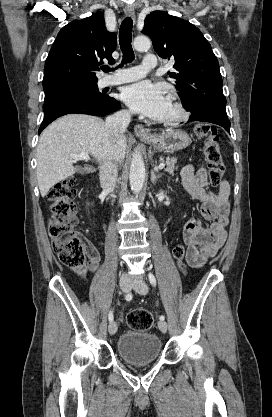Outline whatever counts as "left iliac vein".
<instances>
[{"label":"left iliac vein","instance_id":"4c4485c4","mask_svg":"<svg viewBox=\"0 0 272 417\" xmlns=\"http://www.w3.org/2000/svg\"><path fill=\"white\" fill-rule=\"evenodd\" d=\"M132 287L137 293H139L141 295H145L148 292V286L146 285V283L141 278L138 279V280L133 281ZM158 327H159L160 331H162L163 333H166L168 326H167L166 321L160 320L158 322Z\"/></svg>","mask_w":272,"mask_h":417}]
</instances>
